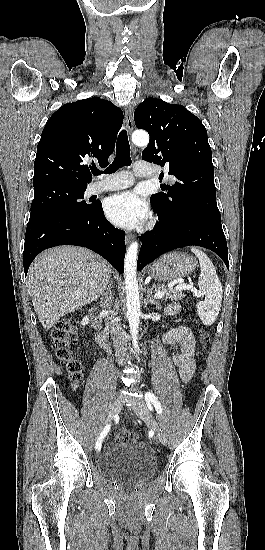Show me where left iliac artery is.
<instances>
[{"instance_id":"1","label":"left iliac artery","mask_w":265,"mask_h":550,"mask_svg":"<svg viewBox=\"0 0 265 550\" xmlns=\"http://www.w3.org/2000/svg\"><path fill=\"white\" fill-rule=\"evenodd\" d=\"M145 400H146V403H147V406H148L149 409H151V404H153L156 411H157V413H159V414L162 413L161 404L158 401L157 397L153 393L147 392L145 394Z\"/></svg>"}]
</instances>
